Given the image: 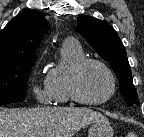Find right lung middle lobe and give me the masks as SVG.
Listing matches in <instances>:
<instances>
[{
	"label": "right lung middle lobe",
	"instance_id": "dd1d6c3e",
	"mask_svg": "<svg viewBox=\"0 0 144 137\" xmlns=\"http://www.w3.org/2000/svg\"><path fill=\"white\" fill-rule=\"evenodd\" d=\"M35 59L0 63V105L23 101L25 85Z\"/></svg>",
	"mask_w": 144,
	"mask_h": 137
}]
</instances>
